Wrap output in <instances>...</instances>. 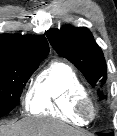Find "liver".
Returning a JSON list of instances; mask_svg holds the SVG:
<instances>
[{"label": "liver", "mask_w": 117, "mask_h": 136, "mask_svg": "<svg viewBox=\"0 0 117 136\" xmlns=\"http://www.w3.org/2000/svg\"><path fill=\"white\" fill-rule=\"evenodd\" d=\"M0 136H92L62 122L27 118L16 123L0 124Z\"/></svg>", "instance_id": "6515ba94"}]
</instances>
